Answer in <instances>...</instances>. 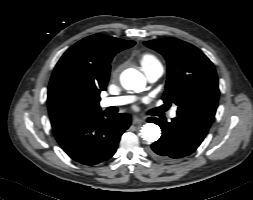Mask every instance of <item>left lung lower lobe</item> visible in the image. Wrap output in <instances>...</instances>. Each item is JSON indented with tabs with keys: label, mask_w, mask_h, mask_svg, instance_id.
I'll return each mask as SVG.
<instances>
[{
	"label": "left lung lower lobe",
	"mask_w": 253,
	"mask_h": 200,
	"mask_svg": "<svg viewBox=\"0 0 253 200\" xmlns=\"http://www.w3.org/2000/svg\"><path fill=\"white\" fill-rule=\"evenodd\" d=\"M162 130L161 138L151 145L150 154L159 160L173 162L193 153L205 138L212 120L192 115L178 114L170 122L149 118Z\"/></svg>",
	"instance_id": "left-lung-lower-lobe-1"
}]
</instances>
